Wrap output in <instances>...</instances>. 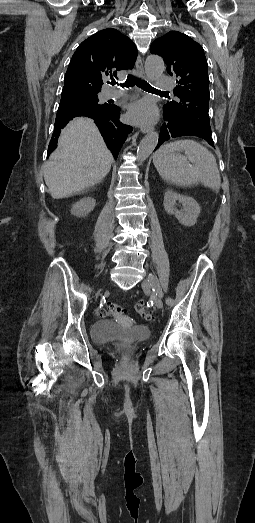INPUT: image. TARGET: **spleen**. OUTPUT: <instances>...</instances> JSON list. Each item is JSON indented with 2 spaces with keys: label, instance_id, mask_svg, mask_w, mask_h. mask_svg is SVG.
Wrapping results in <instances>:
<instances>
[{
  "label": "spleen",
  "instance_id": "spleen-1",
  "mask_svg": "<svg viewBox=\"0 0 255 523\" xmlns=\"http://www.w3.org/2000/svg\"><path fill=\"white\" fill-rule=\"evenodd\" d=\"M179 152H185V156ZM153 164L161 178L169 184L187 188L201 182L215 192L220 188L215 156L193 140H178L161 146L153 156Z\"/></svg>",
  "mask_w": 255,
  "mask_h": 523
}]
</instances>
